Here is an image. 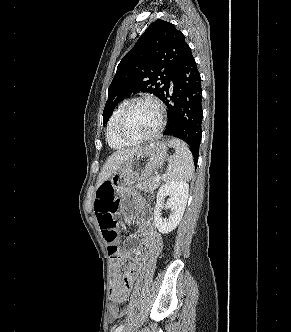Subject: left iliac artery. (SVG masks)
<instances>
[{"instance_id":"obj_1","label":"left iliac artery","mask_w":291,"mask_h":332,"mask_svg":"<svg viewBox=\"0 0 291 332\" xmlns=\"http://www.w3.org/2000/svg\"><path fill=\"white\" fill-rule=\"evenodd\" d=\"M123 328H124V325H120L119 327H117L115 329V332H122Z\"/></svg>"}]
</instances>
